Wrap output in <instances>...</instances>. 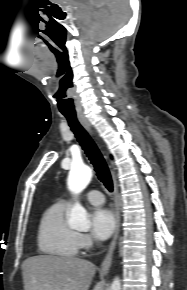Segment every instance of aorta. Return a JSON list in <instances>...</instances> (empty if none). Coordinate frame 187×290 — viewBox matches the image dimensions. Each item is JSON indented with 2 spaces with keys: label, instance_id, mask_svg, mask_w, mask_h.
Returning <instances> with one entry per match:
<instances>
[{
  "label": "aorta",
  "instance_id": "obj_1",
  "mask_svg": "<svg viewBox=\"0 0 187 290\" xmlns=\"http://www.w3.org/2000/svg\"><path fill=\"white\" fill-rule=\"evenodd\" d=\"M92 169L88 166H73L68 176V189L74 194L81 193L92 178ZM68 224L73 229L86 231L90 228V222L86 209L78 202H76L69 214ZM109 290H121V281L116 277Z\"/></svg>",
  "mask_w": 187,
  "mask_h": 290
}]
</instances>
